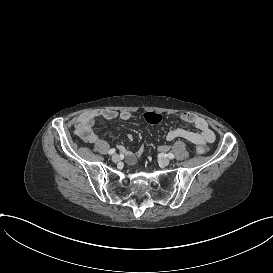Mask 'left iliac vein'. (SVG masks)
<instances>
[{
  "label": "left iliac vein",
  "instance_id": "4c4485c4",
  "mask_svg": "<svg viewBox=\"0 0 273 273\" xmlns=\"http://www.w3.org/2000/svg\"><path fill=\"white\" fill-rule=\"evenodd\" d=\"M159 163L162 165V166H167L169 163H170V160L168 158H161L159 160Z\"/></svg>",
  "mask_w": 273,
  "mask_h": 273
}]
</instances>
